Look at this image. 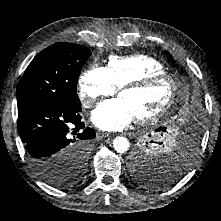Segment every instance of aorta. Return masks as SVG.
I'll use <instances>...</instances> for the list:
<instances>
[{"instance_id": "aorta-1", "label": "aorta", "mask_w": 221, "mask_h": 221, "mask_svg": "<svg viewBox=\"0 0 221 221\" xmlns=\"http://www.w3.org/2000/svg\"><path fill=\"white\" fill-rule=\"evenodd\" d=\"M113 147L118 153H125L130 148V143L127 138L119 136L113 140Z\"/></svg>"}]
</instances>
